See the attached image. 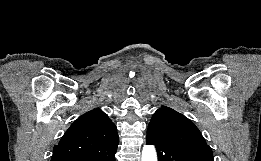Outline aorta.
Here are the masks:
<instances>
[{"label": "aorta", "mask_w": 261, "mask_h": 161, "mask_svg": "<svg viewBox=\"0 0 261 161\" xmlns=\"http://www.w3.org/2000/svg\"><path fill=\"white\" fill-rule=\"evenodd\" d=\"M141 161H157V153L152 145H145L142 149Z\"/></svg>", "instance_id": "762f6f07"}]
</instances>
